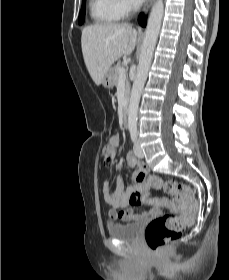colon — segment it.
Returning a JSON list of instances; mask_svg holds the SVG:
<instances>
[{"instance_id": "1", "label": "colon", "mask_w": 229, "mask_h": 280, "mask_svg": "<svg viewBox=\"0 0 229 280\" xmlns=\"http://www.w3.org/2000/svg\"><path fill=\"white\" fill-rule=\"evenodd\" d=\"M104 162L111 165L115 157L114 148L107 144L103 147ZM137 182H147L155 188H163L177 203L180 215L167 214L154 218L146 227L145 239L149 249L154 253L161 252L172 240H175L190 223L198 210V201L192 188L174 180H162L159 176L140 173ZM141 194L131 196V202L139 204Z\"/></svg>"}]
</instances>
